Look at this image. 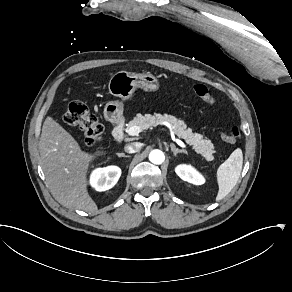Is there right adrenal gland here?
Returning a JSON list of instances; mask_svg holds the SVG:
<instances>
[{"mask_svg":"<svg viewBox=\"0 0 292 292\" xmlns=\"http://www.w3.org/2000/svg\"><path fill=\"white\" fill-rule=\"evenodd\" d=\"M117 156L118 157H126V158L130 157L129 155H125V153H117Z\"/></svg>","mask_w":292,"mask_h":292,"instance_id":"2a0ac1e0","label":"right adrenal gland"}]
</instances>
